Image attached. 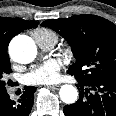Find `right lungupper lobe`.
<instances>
[{
  "label": "right lung upper lobe",
  "instance_id": "1",
  "mask_svg": "<svg viewBox=\"0 0 116 116\" xmlns=\"http://www.w3.org/2000/svg\"><path fill=\"white\" fill-rule=\"evenodd\" d=\"M36 21L0 17V55L7 54L10 40L25 29L36 27Z\"/></svg>",
  "mask_w": 116,
  "mask_h": 116
}]
</instances>
